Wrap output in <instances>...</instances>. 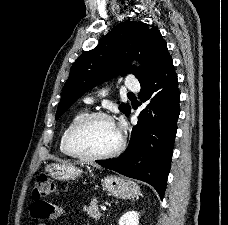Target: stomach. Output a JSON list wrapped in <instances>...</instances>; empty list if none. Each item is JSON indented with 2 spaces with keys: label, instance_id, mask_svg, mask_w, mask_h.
<instances>
[{
  "label": "stomach",
  "instance_id": "stomach-1",
  "mask_svg": "<svg viewBox=\"0 0 228 225\" xmlns=\"http://www.w3.org/2000/svg\"><path fill=\"white\" fill-rule=\"evenodd\" d=\"M45 173L51 179L56 181H65V179H72V177H80L83 171L80 167H74V165H65V163H51L46 165ZM103 189L107 191L108 195L117 197V199H133L140 195V189L133 181L128 179H122V177H104L101 181Z\"/></svg>",
  "mask_w": 228,
  "mask_h": 225
}]
</instances>
